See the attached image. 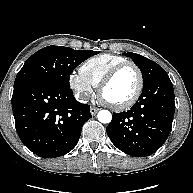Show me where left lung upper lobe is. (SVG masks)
Segmentation results:
<instances>
[{
  "instance_id": "left-lung-upper-lobe-1",
  "label": "left lung upper lobe",
  "mask_w": 193,
  "mask_h": 193,
  "mask_svg": "<svg viewBox=\"0 0 193 193\" xmlns=\"http://www.w3.org/2000/svg\"><path fill=\"white\" fill-rule=\"evenodd\" d=\"M123 54L127 57H130L141 70L143 77V87L148 85L157 76L166 73V71L160 65L146 57L131 52Z\"/></svg>"
}]
</instances>
